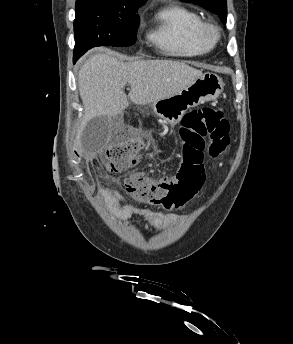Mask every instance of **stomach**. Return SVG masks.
<instances>
[{"label": "stomach", "mask_w": 293, "mask_h": 344, "mask_svg": "<svg viewBox=\"0 0 293 344\" xmlns=\"http://www.w3.org/2000/svg\"><path fill=\"white\" fill-rule=\"evenodd\" d=\"M223 88L221 77L206 72L180 93L153 102L152 109L165 123L173 126L189 108L218 98Z\"/></svg>", "instance_id": "stomach-1"}]
</instances>
